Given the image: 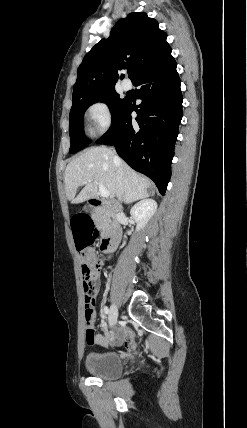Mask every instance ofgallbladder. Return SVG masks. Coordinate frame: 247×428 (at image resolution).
I'll list each match as a JSON object with an SVG mask.
<instances>
[{"label":"gallbladder","mask_w":247,"mask_h":428,"mask_svg":"<svg viewBox=\"0 0 247 428\" xmlns=\"http://www.w3.org/2000/svg\"><path fill=\"white\" fill-rule=\"evenodd\" d=\"M84 208L86 209V211H88L90 213H92V211H93V208L89 205H86Z\"/></svg>","instance_id":"obj_1"}]
</instances>
